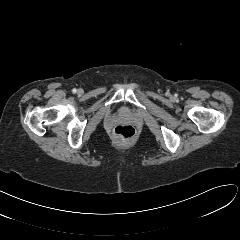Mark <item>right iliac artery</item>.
<instances>
[{"mask_svg": "<svg viewBox=\"0 0 240 240\" xmlns=\"http://www.w3.org/2000/svg\"><path fill=\"white\" fill-rule=\"evenodd\" d=\"M72 92H73V93H76V92H77V90L74 88V89L72 90Z\"/></svg>", "mask_w": 240, "mask_h": 240, "instance_id": "right-iliac-artery-1", "label": "right iliac artery"}]
</instances>
